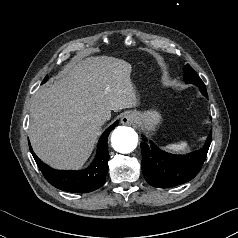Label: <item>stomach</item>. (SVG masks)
Listing matches in <instances>:
<instances>
[{"label":"stomach","mask_w":238,"mask_h":238,"mask_svg":"<svg viewBox=\"0 0 238 238\" xmlns=\"http://www.w3.org/2000/svg\"><path fill=\"white\" fill-rule=\"evenodd\" d=\"M133 113L137 116V123L148 132L154 131L161 122V115L156 110Z\"/></svg>","instance_id":"0dacf381"}]
</instances>
